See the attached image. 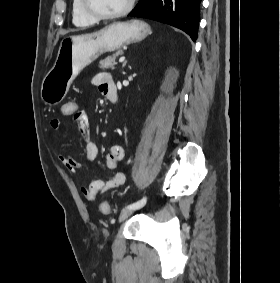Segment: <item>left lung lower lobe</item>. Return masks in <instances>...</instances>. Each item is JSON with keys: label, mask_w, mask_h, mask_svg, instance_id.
<instances>
[{"label": "left lung lower lobe", "mask_w": 280, "mask_h": 283, "mask_svg": "<svg viewBox=\"0 0 280 283\" xmlns=\"http://www.w3.org/2000/svg\"><path fill=\"white\" fill-rule=\"evenodd\" d=\"M201 0H139L129 14L177 27L196 41L200 22Z\"/></svg>", "instance_id": "left-lung-lower-lobe-1"}]
</instances>
